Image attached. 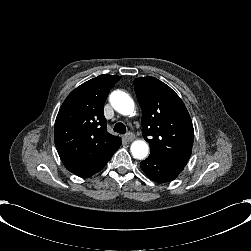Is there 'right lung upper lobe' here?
I'll return each mask as SVG.
<instances>
[{"mask_svg": "<svg viewBox=\"0 0 251 251\" xmlns=\"http://www.w3.org/2000/svg\"><path fill=\"white\" fill-rule=\"evenodd\" d=\"M119 76L100 75L73 90L63 102L54 129L57 152L73 174L88 178L100 171L121 145L107 132L103 114L109 91Z\"/></svg>", "mask_w": 251, "mask_h": 251, "instance_id": "right-lung-upper-lobe-1", "label": "right lung upper lobe"}]
</instances>
